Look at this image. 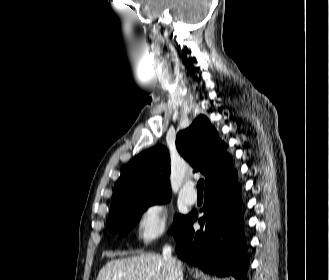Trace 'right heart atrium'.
I'll return each instance as SVG.
<instances>
[{
    "label": "right heart atrium",
    "instance_id": "right-heart-atrium-1",
    "mask_svg": "<svg viewBox=\"0 0 329 280\" xmlns=\"http://www.w3.org/2000/svg\"><path fill=\"white\" fill-rule=\"evenodd\" d=\"M169 211L162 201H154L144 206L137 221L138 239L143 244H150L167 231Z\"/></svg>",
    "mask_w": 329,
    "mask_h": 280
}]
</instances>
